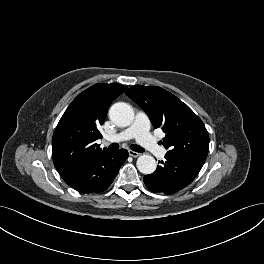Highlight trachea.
<instances>
[{"instance_id":"3493384b","label":"trachea","mask_w":264,"mask_h":264,"mask_svg":"<svg viewBox=\"0 0 264 264\" xmlns=\"http://www.w3.org/2000/svg\"><path fill=\"white\" fill-rule=\"evenodd\" d=\"M109 148L110 149H118L119 148V144H117V143H112L110 146H109ZM130 148L133 150V151H135V152H144L145 150L141 147V146H139V145H136V144H132L131 146H130Z\"/></svg>"}]
</instances>
